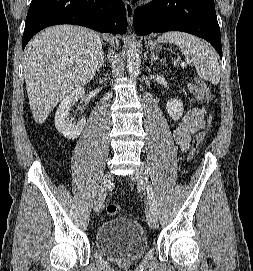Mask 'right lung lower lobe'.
<instances>
[{
	"mask_svg": "<svg viewBox=\"0 0 253 271\" xmlns=\"http://www.w3.org/2000/svg\"><path fill=\"white\" fill-rule=\"evenodd\" d=\"M56 24H76L99 32L127 30L122 0H32L25 22L23 49L40 30Z\"/></svg>",
	"mask_w": 253,
	"mask_h": 271,
	"instance_id": "1",
	"label": "right lung lower lobe"
}]
</instances>
